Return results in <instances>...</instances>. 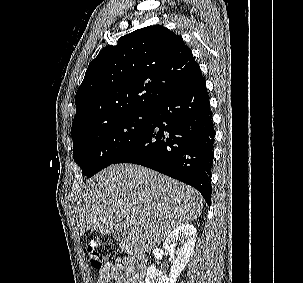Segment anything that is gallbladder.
Segmentation results:
<instances>
[{
	"label": "gallbladder",
	"instance_id": "gallbladder-1",
	"mask_svg": "<svg viewBox=\"0 0 303 283\" xmlns=\"http://www.w3.org/2000/svg\"><path fill=\"white\" fill-rule=\"evenodd\" d=\"M121 232V230L120 231H118L116 234H115V237L118 239L119 237H120V233Z\"/></svg>",
	"mask_w": 303,
	"mask_h": 283
}]
</instances>
